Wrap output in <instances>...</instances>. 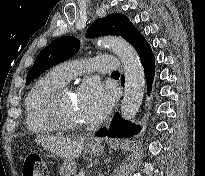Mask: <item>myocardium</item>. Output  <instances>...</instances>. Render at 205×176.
<instances>
[{"label":"myocardium","mask_w":205,"mask_h":176,"mask_svg":"<svg viewBox=\"0 0 205 176\" xmlns=\"http://www.w3.org/2000/svg\"><path fill=\"white\" fill-rule=\"evenodd\" d=\"M71 92L70 87L63 85L53 90L44 100L43 112L45 116L60 131L77 130L85 127L84 123L66 120L60 112V100Z\"/></svg>","instance_id":"myocardium-1"}]
</instances>
